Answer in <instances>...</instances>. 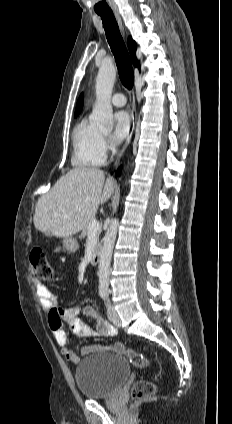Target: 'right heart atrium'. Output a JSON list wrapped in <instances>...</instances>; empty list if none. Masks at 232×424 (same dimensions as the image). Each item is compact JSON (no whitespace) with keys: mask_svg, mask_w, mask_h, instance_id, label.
<instances>
[{"mask_svg":"<svg viewBox=\"0 0 232 424\" xmlns=\"http://www.w3.org/2000/svg\"><path fill=\"white\" fill-rule=\"evenodd\" d=\"M103 145L105 150H110L111 146L107 137H103Z\"/></svg>","mask_w":232,"mask_h":424,"instance_id":"d8ad5b80","label":"right heart atrium"}]
</instances>
